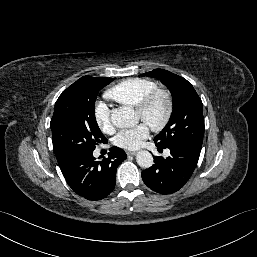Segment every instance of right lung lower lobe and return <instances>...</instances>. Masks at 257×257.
<instances>
[{
	"mask_svg": "<svg viewBox=\"0 0 257 257\" xmlns=\"http://www.w3.org/2000/svg\"><path fill=\"white\" fill-rule=\"evenodd\" d=\"M108 158L96 161L93 152L73 157L61 168L68 185L78 195L89 200L108 196L116 183V169L127 157L123 149L113 147Z\"/></svg>",
	"mask_w": 257,
	"mask_h": 257,
	"instance_id": "1",
	"label": "right lung lower lobe"
}]
</instances>
